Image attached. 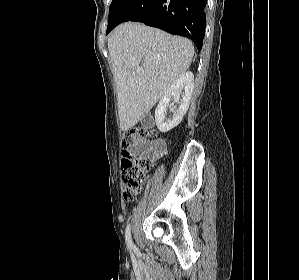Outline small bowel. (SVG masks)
Segmentation results:
<instances>
[{"instance_id":"c3829d8e","label":"small bowel","mask_w":299,"mask_h":280,"mask_svg":"<svg viewBox=\"0 0 299 280\" xmlns=\"http://www.w3.org/2000/svg\"><path fill=\"white\" fill-rule=\"evenodd\" d=\"M166 149V142L162 139H156L139 147L138 152L142 156L160 157L165 154Z\"/></svg>"}]
</instances>
